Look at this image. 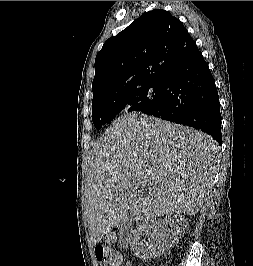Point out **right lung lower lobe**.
<instances>
[{"instance_id":"obj_1","label":"right lung lower lobe","mask_w":253,"mask_h":266,"mask_svg":"<svg viewBox=\"0 0 253 266\" xmlns=\"http://www.w3.org/2000/svg\"><path fill=\"white\" fill-rule=\"evenodd\" d=\"M163 83V101L148 115L199 129L221 145L219 96L202 53L171 72Z\"/></svg>"}]
</instances>
